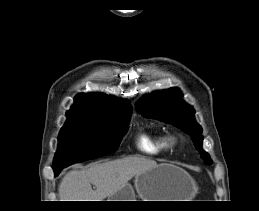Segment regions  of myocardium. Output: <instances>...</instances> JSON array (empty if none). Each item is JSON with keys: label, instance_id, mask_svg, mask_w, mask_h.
I'll return each mask as SVG.
<instances>
[{"label": "myocardium", "instance_id": "myocardium-1", "mask_svg": "<svg viewBox=\"0 0 259 211\" xmlns=\"http://www.w3.org/2000/svg\"><path fill=\"white\" fill-rule=\"evenodd\" d=\"M170 146H175L178 143V138L174 135L168 137Z\"/></svg>", "mask_w": 259, "mask_h": 211}]
</instances>
